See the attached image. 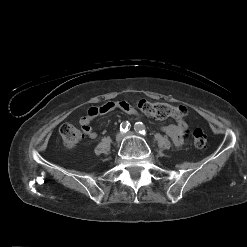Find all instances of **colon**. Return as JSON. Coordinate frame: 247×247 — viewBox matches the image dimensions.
Returning a JSON list of instances; mask_svg holds the SVG:
<instances>
[{
    "label": "colon",
    "instance_id": "1",
    "mask_svg": "<svg viewBox=\"0 0 247 247\" xmlns=\"http://www.w3.org/2000/svg\"><path fill=\"white\" fill-rule=\"evenodd\" d=\"M136 106L145 115L157 119L174 118L179 120L183 119L187 114L184 106H173L164 102H153L146 99L139 100ZM59 132L64 146L68 149L76 147L83 138L82 132L71 124H63ZM192 137L196 147L202 148L206 145L207 136L201 128H195L192 131Z\"/></svg>",
    "mask_w": 247,
    "mask_h": 247
}]
</instances>
